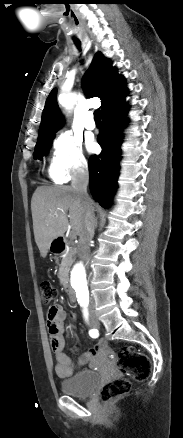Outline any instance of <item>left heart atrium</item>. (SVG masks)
<instances>
[{"instance_id":"1","label":"left heart atrium","mask_w":183,"mask_h":438,"mask_svg":"<svg viewBox=\"0 0 183 438\" xmlns=\"http://www.w3.org/2000/svg\"><path fill=\"white\" fill-rule=\"evenodd\" d=\"M87 148L90 152H94L96 150V143L92 139L88 140Z\"/></svg>"}]
</instances>
